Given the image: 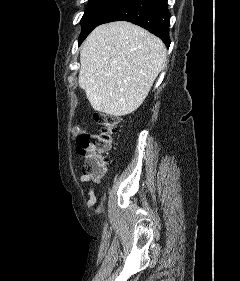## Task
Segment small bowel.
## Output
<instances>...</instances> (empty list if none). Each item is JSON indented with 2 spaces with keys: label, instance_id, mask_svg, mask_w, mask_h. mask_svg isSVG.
Listing matches in <instances>:
<instances>
[{
  "label": "small bowel",
  "instance_id": "obj_1",
  "mask_svg": "<svg viewBox=\"0 0 240 281\" xmlns=\"http://www.w3.org/2000/svg\"><path fill=\"white\" fill-rule=\"evenodd\" d=\"M81 182H93V183H100L102 180V174L100 175H89L82 172V175L80 177ZM95 202V198L91 197L89 200V203L92 204Z\"/></svg>",
  "mask_w": 240,
  "mask_h": 281
}]
</instances>
